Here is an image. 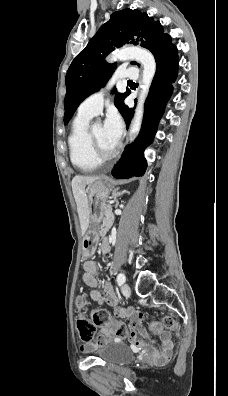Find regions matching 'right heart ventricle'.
<instances>
[{"instance_id":"1","label":"right heart ventricle","mask_w":228,"mask_h":396,"mask_svg":"<svg viewBox=\"0 0 228 396\" xmlns=\"http://www.w3.org/2000/svg\"><path fill=\"white\" fill-rule=\"evenodd\" d=\"M91 115L78 113L73 121L68 137L72 163L83 172H91L100 166L90 149L88 131Z\"/></svg>"}]
</instances>
